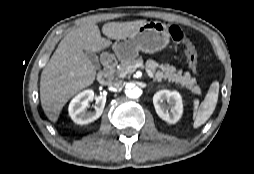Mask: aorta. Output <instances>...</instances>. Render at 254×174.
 <instances>
[{"mask_svg": "<svg viewBox=\"0 0 254 174\" xmlns=\"http://www.w3.org/2000/svg\"><path fill=\"white\" fill-rule=\"evenodd\" d=\"M124 92H125L126 96L131 99H136V98L140 97V95H141V90L136 85H134L132 83H128L125 86Z\"/></svg>", "mask_w": 254, "mask_h": 174, "instance_id": "obj_1", "label": "aorta"}]
</instances>
